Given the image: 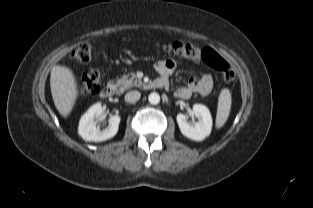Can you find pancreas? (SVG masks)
Segmentation results:
<instances>
[{"label":"pancreas","instance_id":"obj_1","mask_svg":"<svg viewBox=\"0 0 313 208\" xmlns=\"http://www.w3.org/2000/svg\"><path fill=\"white\" fill-rule=\"evenodd\" d=\"M117 86L119 87V92L123 93L128 88L141 87L142 81L136 78L135 73H131L130 78L127 75L122 76L117 81Z\"/></svg>","mask_w":313,"mask_h":208}]
</instances>
